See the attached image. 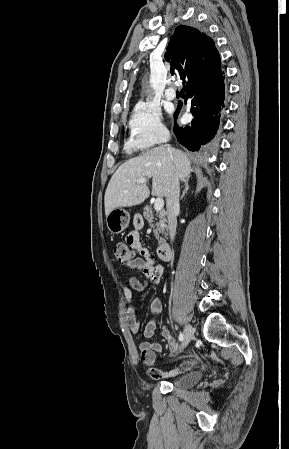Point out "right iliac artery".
<instances>
[{"label": "right iliac artery", "instance_id": "obj_1", "mask_svg": "<svg viewBox=\"0 0 289 449\" xmlns=\"http://www.w3.org/2000/svg\"><path fill=\"white\" fill-rule=\"evenodd\" d=\"M183 339H184V335H183V333L181 332V333L179 334V340H180V341H183Z\"/></svg>", "mask_w": 289, "mask_h": 449}]
</instances>
